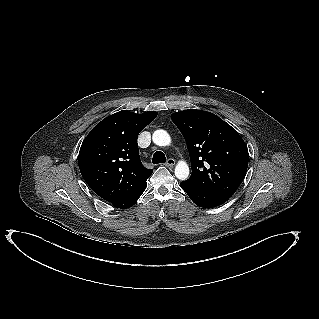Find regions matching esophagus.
<instances>
[{
  "label": "esophagus",
  "mask_w": 319,
  "mask_h": 319,
  "mask_svg": "<svg viewBox=\"0 0 319 319\" xmlns=\"http://www.w3.org/2000/svg\"><path fill=\"white\" fill-rule=\"evenodd\" d=\"M175 163H176V161L173 158H169V159H167L165 165L167 167H173L175 165Z\"/></svg>",
  "instance_id": "esophagus-1"
}]
</instances>
